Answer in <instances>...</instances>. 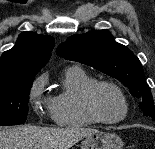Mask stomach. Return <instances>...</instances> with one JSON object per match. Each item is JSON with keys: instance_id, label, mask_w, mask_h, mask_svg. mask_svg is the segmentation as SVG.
<instances>
[{"instance_id": "0dacf381", "label": "stomach", "mask_w": 155, "mask_h": 149, "mask_svg": "<svg viewBox=\"0 0 155 149\" xmlns=\"http://www.w3.org/2000/svg\"><path fill=\"white\" fill-rule=\"evenodd\" d=\"M123 142L114 133L97 131L85 137L81 149H123Z\"/></svg>"}]
</instances>
